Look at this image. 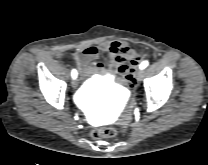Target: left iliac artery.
Wrapping results in <instances>:
<instances>
[{"instance_id":"1","label":"left iliac artery","mask_w":208,"mask_h":165,"mask_svg":"<svg viewBox=\"0 0 208 165\" xmlns=\"http://www.w3.org/2000/svg\"><path fill=\"white\" fill-rule=\"evenodd\" d=\"M149 62L148 61H143L141 64H140V69H144L148 66Z\"/></svg>"}]
</instances>
